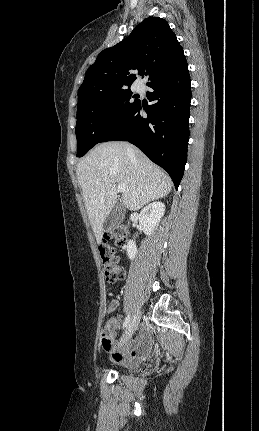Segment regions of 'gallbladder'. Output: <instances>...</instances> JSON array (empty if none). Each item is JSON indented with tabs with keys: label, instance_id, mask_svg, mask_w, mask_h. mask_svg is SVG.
<instances>
[{
	"label": "gallbladder",
	"instance_id": "gallbladder-1",
	"mask_svg": "<svg viewBox=\"0 0 259 431\" xmlns=\"http://www.w3.org/2000/svg\"><path fill=\"white\" fill-rule=\"evenodd\" d=\"M124 218V205L121 200H118L115 206L110 211L109 215L103 223V230L110 231L115 226L119 225Z\"/></svg>",
	"mask_w": 259,
	"mask_h": 431
}]
</instances>
